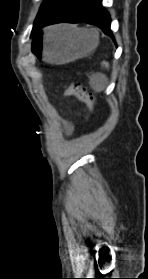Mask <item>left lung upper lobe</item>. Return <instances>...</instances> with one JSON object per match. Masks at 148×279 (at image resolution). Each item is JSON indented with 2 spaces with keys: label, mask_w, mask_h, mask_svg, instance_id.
<instances>
[{
  "label": "left lung upper lobe",
  "mask_w": 148,
  "mask_h": 279,
  "mask_svg": "<svg viewBox=\"0 0 148 279\" xmlns=\"http://www.w3.org/2000/svg\"><path fill=\"white\" fill-rule=\"evenodd\" d=\"M65 0H44L42 3L39 13L35 19L32 34L37 25L46 19L55 9H57Z\"/></svg>",
  "instance_id": "obj_1"
}]
</instances>
